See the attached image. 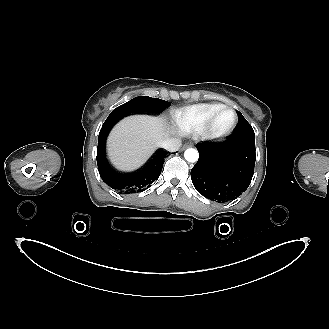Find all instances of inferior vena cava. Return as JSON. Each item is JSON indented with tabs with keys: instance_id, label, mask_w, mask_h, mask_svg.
Segmentation results:
<instances>
[{
	"instance_id": "inferior-vena-cava-1",
	"label": "inferior vena cava",
	"mask_w": 329,
	"mask_h": 329,
	"mask_svg": "<svg viewBox=\"0 0 329 329\" xmlns=\"http://www.w3.org/2000/svg\"><path fill=\"white\" fill-rule=\"evenodd\" d=\"M182 145V142L178 138H167L161 143V147L170 151L175 152L177 151Z\"/></svg>"
}]
</instances>
